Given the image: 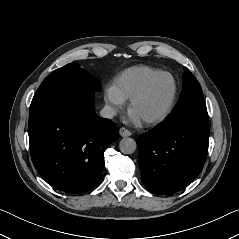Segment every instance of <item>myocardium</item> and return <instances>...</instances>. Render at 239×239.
<instances>
[{"instance_id":"myocardium-1","label":"myocardium","mask_w":239,"mask_h":239,"mask_svg":"<svg viewBox=\"0 0 239 239\" xmlns=\"http://www.w3.org/2000/svg\"><path fill=\"white\" fill-rule=\"evenodd\" d=\"M162 76H166L168 78H170L171 82H172V94L171 97L167 103V105L165 106V108L160 111L159 113L147 117L145 119H143V121L147 124H152V123H156L159 121H162L163 119H165L169 113L171 112L176 97H177V91H178V87H177V82L175 80V78L172 76V74H170L169 72H165V71H159L156 74H154L152 77H150L130 98H129V108H131L146 92L147 90L150 88V86L160 77Z\"/></svg>"}]
</instances>
